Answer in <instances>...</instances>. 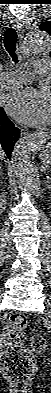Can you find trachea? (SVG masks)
Masks as SVG:
<instances>
[{
  "instance_id": "1",
  "label": "trachea",
  "mask_w": 51,
  "mask_h": 393,
  "mask_svg": "<svg viewBox=\"0 0 51 393\" xmlns=\"http://www.w3.org/2000/svg\"><path fill=\"white\" fill-rule=\"evenodd\" d=\"M17 32L14 28H8L4 33V46L14 62H18L16 55Z\"/></svg>"
}]
</instances>
